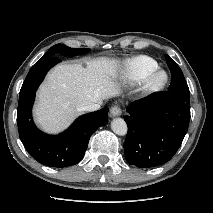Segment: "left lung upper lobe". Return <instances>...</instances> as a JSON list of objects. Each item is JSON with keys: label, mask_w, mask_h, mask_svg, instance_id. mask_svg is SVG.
<instances>
[{"label": "left lung upper lobe", "mask_w": 213, "mask_h": 213, "mask_svg": "<svg viewBox=\"0 0 213 213\" xmlns=\"http://www.w3.org/2000/svg\"><path fill=\"white\" fill-rule=\"evenodd\" d=\"M166 62L172 74L169 91L189 95V88L186 84L182 70L168 55H166Z\"/></svg>", "instance_id": "obj_1"}]
</instances>
